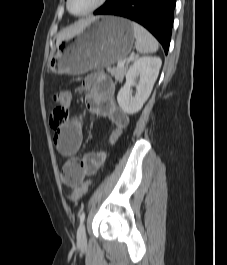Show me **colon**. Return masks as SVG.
<instances>
[{
    "label": "colon",
    "instance_id": "obj_1",
    "mask_svg": "<svg viewBox=\"0 0 227 265\" xmlns=\"http://www.w3.org/2000/svg\"><path fill=\"white\" fill-rule=\"evenodd\" d=\"M53 100L58 104V107L52 112L50 117V124L54 130L59 129L66 123L69 115V106L71 103V94L67 90H57L53 94ZM71 163L66 162L62 168V177L67 178L70 174ZM90 186V181L77 186L71 193V200L78 202L82 196L87 192Z\"/></svg>",
    "mask_w": 227,
    "mask_h": 265
}]
</instances>
